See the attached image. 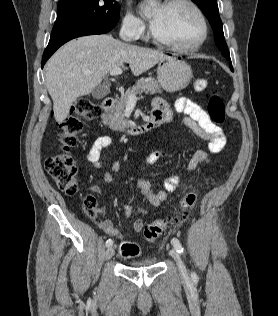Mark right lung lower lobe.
Returning a JSON list of instances; mask_svg holds the SVG:
<instances>
[{"mask_svg":"<svg viewBox=\"0 0 278 316\" xmlns=\"http://www.w3.org/2000/svg\"><path fill=\"white\" fill-rule=\"evenodd\" d=\"M116 24L114 23H95L69 29L67 31L52 35L47 48L43 53L42 68L50 56L64 43L80 36L104 34L111 31Z\"/></svg>","mask_w":278,"mask_h":316,"instance_id":"right-lung-lower-lobe-1","label":"right lung lower lobe"}]
</instances>
